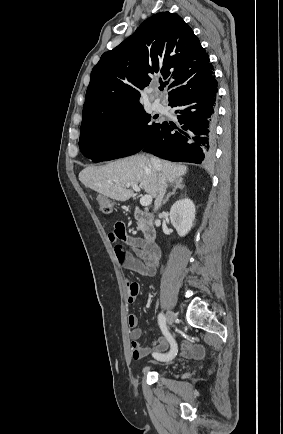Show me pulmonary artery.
Here are the masks:
<instances>
[{
	"mask_svg": "<svg viewBox=\"0 0 283 434\" xmlns=\"http://www.w3.org/2000/svg\"><path fill=\"white\" fill-rule=\"evenodd\" d=\"M153 109L157 112H164L165 106L159 99H155L153 102Z\"/></svg>",
	"mask_w": 283,
	"mask_h": 434,
	"instance_id": "obj_1",
	"label": "pulmonary artery"
}]
</instances>
